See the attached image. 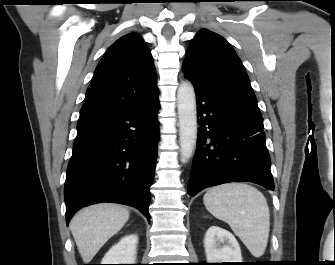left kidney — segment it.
Instances as JSON below:
<instances>
[{
  "label": "left kidney",
  "mask_w": 335,
  "mask_h": 265,
  "mask_svg": "<svg viewBox=\"0 0 335 265\" xmlns=\"http://www.w3.org/2000/svg\"><path fill=\"white\" fill-rule=\"evenodd\" d=\"M207 263L242 262L238 241L229 231L211 226L204 237Z\"/></svg>",
  "instance_id": "obj_1"
}]
</instances>
